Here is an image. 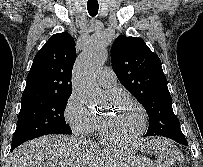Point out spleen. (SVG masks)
Masks as SVG:
<instances>
[{
  "instance_id": "obj_1",
  "label": "spleen",
  "mask_w": 203,
  "mask_h": 167,
  "mask_svg": "<svg viewBox=\"0 0 203 167\" xmlns=\"http://www.w3.org/2000/svg\"><path fill=\"white\" fill-rule=\"evenodd\" d=\"M153 150L164 153V154L178 156L179 160H181V161L184 160V158L182 156L178 155V150L170 142H168L166 140H158L154 144Z\"/></svg>"
}]
</instances>
